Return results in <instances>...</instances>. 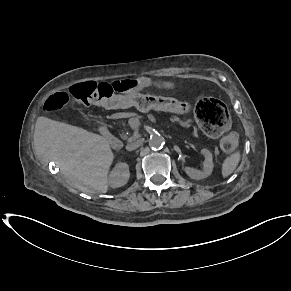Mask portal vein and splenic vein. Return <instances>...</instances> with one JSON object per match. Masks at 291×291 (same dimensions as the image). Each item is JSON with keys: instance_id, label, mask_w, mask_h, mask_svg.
Returning <instances> with one entry per match:
<instances>
[{"instance_id": "obj_1", "label": "portal vein and splenic vein", "mask_w": 291, "mask_h": 291, "mask_svg": "<svg viewBox=\"0 0 291 291\" xmlns=\"http://www.w3.org/2000/svg\"><path fill=\"white\" fill-rule=\"evenodd\" d=\"M138 126H139V121L137 120V121H135V122L133 123L132 127H133L134 129H137Z\"/></svg>"}]
</instances>
